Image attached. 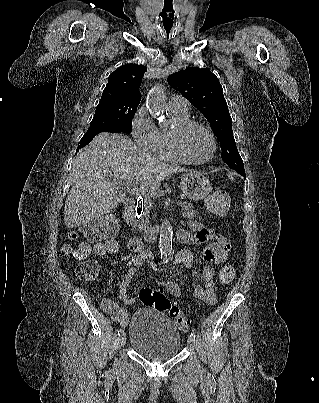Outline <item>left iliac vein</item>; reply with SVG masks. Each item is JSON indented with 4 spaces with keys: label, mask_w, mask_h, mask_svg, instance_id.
Listing matches in <instances>:
<instances>
[{
    "label": "left iliac vein",
    "mask_w": 319,
    "mask_h": 403,
    "mask_svg": "<svg viewBox=\"0 0 319 403\" xmlns=\"http://www.w3.org/2000/svg\"><path fill=\"white\" fill-rule=\"evenodd\" d=\"M187 344L191 349H193V350L196 349V342H195L194 338L189 337L187 340Z\"/></svg>",
    "instance_id": "1"
}]
</instances>
